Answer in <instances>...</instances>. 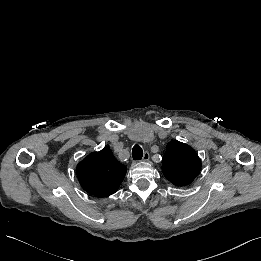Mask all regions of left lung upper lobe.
<instances>
[{
  "label": "left lung upper lobe",
  "mask_w": 261,
  "mask_h": 261,
  "mask_svg": "<svg viewBox=\"0 0 261 261\" xmlns=\"http://www.w3.org/2000/svg\"><path fill=\"white\" fill-rule=\"evenodd\" d=\"M164 176L175 186L190 184L201 170V161L187 144L173 140L167 145L162 159Z\"/></svg>",
  "instance_id": "5c2ea615"
}]
</instances>
